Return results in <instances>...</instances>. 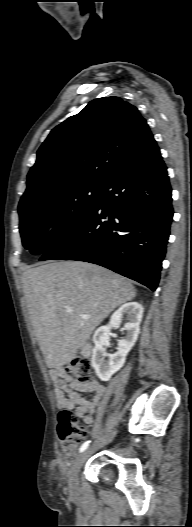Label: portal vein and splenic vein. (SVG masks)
<instances>
[{
    "instance_id": "18ae733b",
    "label": "portal vein and splenic vein",
    "mask_w": 192,
    "mask_h": 527,
    "mask_svg": "<svg viewBox=\"0 0 192 527\" xmlns=\"http://www.w3.org/2000/svg\"><path fill=\"white\" fill-rule=\"evenodd\" d=\"M66 312H67V313H72L73 310H72L71 308L67 307V308H66ZM89 317H90L89 315H84V314L81 315V318H83V319H88Z\"/></svg>"
}]
</instances>
